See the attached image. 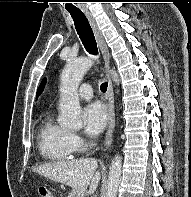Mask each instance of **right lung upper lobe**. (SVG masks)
Returning <instances> with one entry per match:
<instances>
[{"mask_svg": "<svg viewBox=\"0 0 191 197\" xmlns=\"http://www.w3.org/2000/svg\"><path fill=\"white\" fill-rule=\"evenodd\" d=\"M45 84H46V79L44 78V79L42 80V82H41V84H40L38 90H37V96H39V95L42 93V91L44 90Z\"/></svg>", "mask_w": 191, "mask_h": 197, "instance_id": "1", "label": "right lung upper lobe"}]
</instances>
